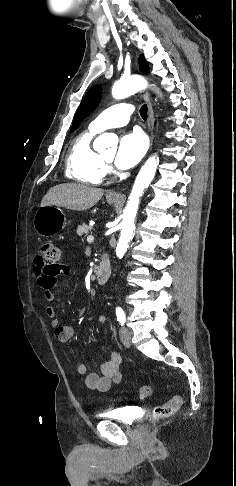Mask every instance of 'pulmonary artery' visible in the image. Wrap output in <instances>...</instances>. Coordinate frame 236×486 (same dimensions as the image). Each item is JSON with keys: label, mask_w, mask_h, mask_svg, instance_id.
Segmentation results:
<instances>
[{"label": "pulmonary artery", "mask_w": 236, "mask_h": 486, "mask_svg": "<svg viewBox=\"0 0 236 486\" xmlns=\"http://www.w3.org/2000/svg\"><path fill=\"white\" fill-rule=\"evenodd\" d=\"M133 112V106L128 103L115 104L102 111L89 125V129L99 133L105 129L126 125Z\"/></svg>", "instance_id": "1"}]
</instances>
